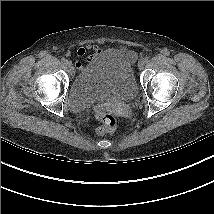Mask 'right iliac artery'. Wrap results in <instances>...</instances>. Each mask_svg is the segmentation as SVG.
I'll use <instances>...</instances> for the list:
<instances>
[{
	"label": "right iliac artery",
	"instance_id": "right-iliac-artery-1",
	"mask_svg": "<svg viewBox=\"0 0 214 214\" xmlns=\"http://www.w3.org/2000/svg\"><path fill=\"white\" fill-rule=\"evenodd\" d=\"M61 62H62L63 64H66V62H67V59H65V58H62V59H61Z\"/></svg>",
	"mask_w": 214,
	"mask_h": 214
}]
</instances>
